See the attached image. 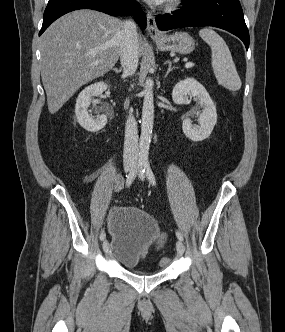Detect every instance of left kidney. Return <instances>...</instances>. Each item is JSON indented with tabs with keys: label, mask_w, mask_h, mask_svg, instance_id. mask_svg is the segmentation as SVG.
I'll return each instance as SVG.
<instances>
[{
	"label": "left kidney",
	"mask_w": 285,
	"mask_h": 332,
	"mask_svg": "<svg viewBox=\"0 0 285 332\" xmlns=\"http://www.w3.org/2000/svg\"><path fill=\"white\" fill-rule=\"evenodd\" d=\"M189 97L196 98L203 110L200 115L199 126H193L190 119H185L182 130L187 138L199 142L210 136L217 122L216 106L205 87L194 78L179 81L172 91V99L175 104H183Z\"/></svg>",
	"instance_id": "5707ae66"
}]
</instances>
